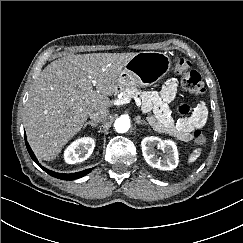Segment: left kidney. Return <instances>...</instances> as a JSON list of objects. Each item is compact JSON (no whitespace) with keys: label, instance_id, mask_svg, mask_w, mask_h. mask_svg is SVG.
<instances>
[{"label":"left kidney","instance_id":"left-kidney-1","mask_svg":"<svg viewBox=\"0 0 243 243\" xmlns=\"http://www.w3.org/2000/svg\"><path fill=\"white\" fill-rule=\"evenodd\" d=\"M161 148L166 154L163 158H158L154 147ZM142 153L145 161L153 168L168 171L173 170L178 165V151L175 142L172 140H161L158 137H145L141 142Z\"/></svg>","mask_w":243,"mask_h":243}]
</instances>
